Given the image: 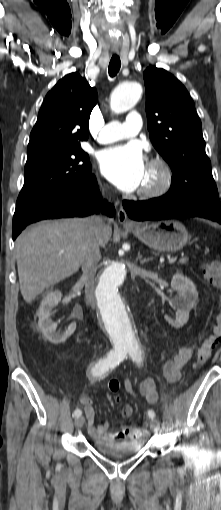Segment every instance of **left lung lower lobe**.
Masks as SVG:
<instances>
[{"instance_id":"0a47b994","label":"left lung lower lobe","mask_w":221,"mask_h":510,"mask_svg":"<svg viewBox=\"0 0 221 510\" xmlns=\"http://www.w3.org/2000/svg\"><path fill=\"white\" fill-rule=\"evenodd\" d=\"M124 209L134 220H162L203 217L221 224V203L207 200H172L164 196L147 201H124Z\"/></svg>"}]
</instances>
